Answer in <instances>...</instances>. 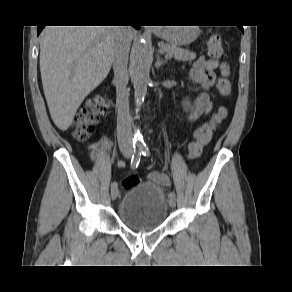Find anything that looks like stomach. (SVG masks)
Returning a JSON list of instances; mask_svg holds the SVG:
<instances>
[{
    "mask_svg": "<svg viewBox=\"0 0 292 292\" xmlns=\"http://www.w3.org/2000/svg\"><path fill=\"white\" fill-rule=\"evenodd\" d=\"M156 34L169 44L183 46L194 41L199 34L197 27H166Z\"/></svg>",
    "mask_w": 292,
    "mask_h": 292,
    "instance_id": "1",
    "label": "stomach"
}]
</instances>
